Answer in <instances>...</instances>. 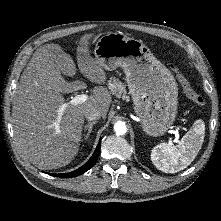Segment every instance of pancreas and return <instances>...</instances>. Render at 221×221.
Returning a JSON list of instances; mask_svg holds the SVG:
<instances>
[{
	"mask_svg": "<svg viewBox=\"0 0 221 221\" xmlns=\"http://www.w3.org/2000/svg\"><path fill=\"white\" fill-rule=\"evenodd\" d=\"M108 88L110 90V92L112 94H115L117 96H123V98H127L126 97V87L125 85L119 81L118 79L111 78L108 82Z\"/></svg>",
	"mask_w": 221,
	"mask_h": 221,
	"instance_id": "pancreas-1",
	"label": "pancreas"
}]
</instances>
